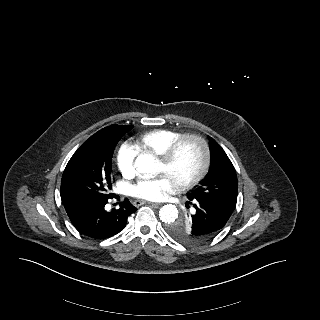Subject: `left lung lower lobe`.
<instances>
[{"instance_id":"1","label":"left lung lower lobe","mask_w":320,"mask_h":320,"mask_svg":"<svg viewBox=\"0 0 320 320\" xmlns=\"http://www.w3.org/2000/svg\"><path fill=\"white\" fill-rule=\"evenodd\" d=\"M194 212L197 214L198 229L194 235L201 241L213 238L225 226L231 214L225 212L218 205L210 203L204 199H194L191 201Z\"/></svg>"}]
</instances>
